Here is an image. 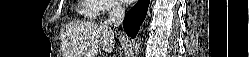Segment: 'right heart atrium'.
<instances>
[{
    "label": "right heart atrium",
    "mask_w": 249,
    "mask_h": 57,
    "mask_svg": "<svg viewBox=\"0 0 249 57\" xmlns=\"http://www.w3.org/2000/svg\"><path fill=\"white\" fill-rule=\"evenodd\" d=\"M98 3V11L107 14L116 11L119 8V3L116 0H96Z\"/></svg>",
    "instance_id": "obj_1"
}]
</instances>
